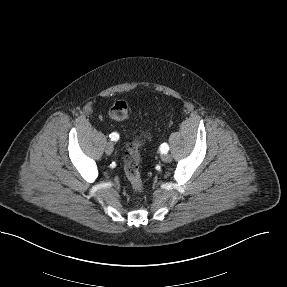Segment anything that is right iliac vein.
<instances>
[{"mask_svg": "<svg viewBox=\"0 0 287 287\" xmlns=\"http://www.w3.org/2000/svg\"><path fill=\"white\" fill-rule=\"evenodd\" d=\"M113 149H114V147H113V144H112L111 142H108V143L105 145V153H106L107 155H111L112 152H113Z\"/></svg>", "mask_w": 287, "mask_h": 287, "instance_id": "63e3f726", "label": "right iliac vein"}]
</instances>
